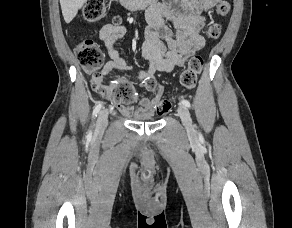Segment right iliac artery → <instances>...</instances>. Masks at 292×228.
Segmentation results:
<instances>
[{"instance_id":"1","label":"right iliac artery","mask_w":292,"mask_h":228,"mask_svg":"<svg viewBox=\"0 0 292 228\" xmlns=\"http://www.w3.org/2000/svg\"><path fill=\"white\" fill-rule=\"evenodd\" d=\"M101 107H102V103H99L98 105L95 106V108L93 110V114H92L93 118H95L97 116V114L99 113ZM90 133H91V131H90Z\"/></svg>"}]
</instances>
